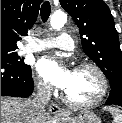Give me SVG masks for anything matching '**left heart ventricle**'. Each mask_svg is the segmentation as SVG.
I'll list each match as a JSON object with an SVG mask.
<instances>
[{
    "instance_id": "1",
    "label": "left heart ventricle",
    "mask_w": 122,
    "mask_h": 123,
    "mask_svg": "<svg viewBox=\"0 0 122 123\" xmlns=\"http://www.w3.org/2000/svg\"><path fill=\"white\" fill-rule=\"evenodd\" d=\"M101 90L97 73L90 68L74 69L71 82L64 90L74 101H87L96 97Z\"/></svg>"
}]
</instances>
